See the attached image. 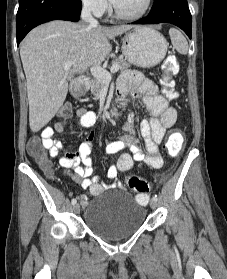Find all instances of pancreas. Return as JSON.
<instances>
[{
    "instance_id": "obj_1",
    "label": "pancreas",
    "mask_w": 227,
    "mask_h": 279,
    "mask_svg": "<svg viewBox=\"0 0 227 279\" xmlns=\"http://www.w3.org/2000/svg\"><path fill=\"white\" fill-rule=\"evenodd\" d=\"M112 65H118L120 71L128 70L130 63L124 58H117L112 61ZM106 82L94 78L91 81V93L94 95V99L98 100L102 90L105 88Z\"/></svg>"
}]
</instances>
